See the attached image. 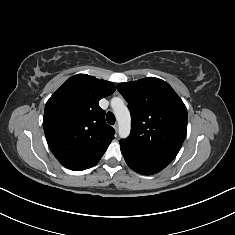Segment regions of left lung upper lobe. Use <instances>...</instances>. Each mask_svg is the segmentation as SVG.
<instances>
[{
  "instance_id": "obj_1",
  "label": "left lung upper lobe",
  "mask_w": 235,
  "mask_h": 235,
  "mask_svg": "<svg viewBox=\"0 0 235 235\" xmlns=\"http://www.w3.org/2000/svg\"><path fill=\"white\" fill-rule=\"evenodd\" d=\"M131 112V133L120 144L130 151L169 164L187 132V109L165 81L148 77L117 85Z\"/></svg>"
}]
</instances>
